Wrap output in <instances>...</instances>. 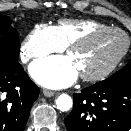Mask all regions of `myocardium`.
<instances>
[{"instance_id":"1","label":"myocardium","mask_w":131,"mask_h":131,"mask_svg":"<svg viewBox=\"0 0 131 131\" xmlns=\"http://www.w3.org/2000/svg\"><path fill=\"white\" fill-rule=\"evenodd\" d=\"M106 33H118L121 34L125 38V45L121 52L109 63L107 64L104 68L101 70L94 72V73H81L80 76L83 80L85 81H98L106 76H108L121 62V60L125 57L127 54L129 48H130V38L126 32L121 30L120 28L117 27H105V28H100L96 29L93 31H90L74 41H72L68 46L67 49L68 51H73L75 49L84 47L87 45L90 41L95 39L96 37L106 34Z\"/></svg>"}]
</instances>
